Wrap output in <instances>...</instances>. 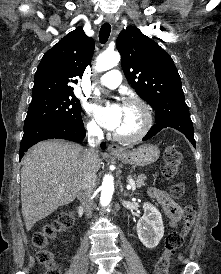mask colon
<instances>
[{"label":"colon","instance_id":"colon-1","mask_svg":"<svg viewBox=\"0 0 221 274\" xmlns=\"http://www.w3.org/2000/svg\"><path fill=\"white\" fill-rule=\"evenodd\" d=\"M165 164L163 175L166 179L173 178L181 163V154L176 147L169 145L164 152ZM171 195L179 198L184 193V185L176 183L171 186ZM195 208L186 205L183 209V224L180 231L171 232L165 241L164 252L155 264V274H168L171 256L183 246L188 234L191 231L195 219ZM73 216L70 213L60 215L56 220L44 225L32 236V243L36 248L38 262L46 268V274H62L61 267L54 259L53 252L49 249V242L54 239L59 232L71 227Z\"/></svg>","mask_w":221,"mask_h":274}]
</instances>
